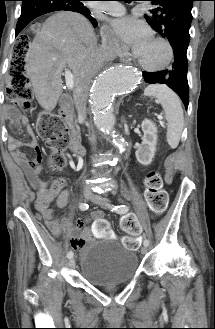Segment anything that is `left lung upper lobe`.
<instances>
[{"instance_id":"1","label":"left lung upper lobe","mask_w":215,"mask_h":329,"mask_svg":"<svg viewBox=\"0 0 215 329\" xmlns=\"http://www.w3.org/2000/svg\"><path fill=\"white\" fill-rule=\"evenodd\" d=\"M154 9L145 15L148 24L163 38L189 43L192 5L195 0H149Z\"/></svg>"}]
</instances>
